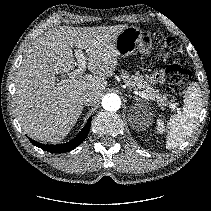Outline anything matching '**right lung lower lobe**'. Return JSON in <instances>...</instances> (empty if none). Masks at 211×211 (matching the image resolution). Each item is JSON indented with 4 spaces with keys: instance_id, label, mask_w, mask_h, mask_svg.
<instances>
[{
    "instance_id": "obj_1",
    "label": "right lung lower lobe",
    "mask_w": 211,
    "mask_h": 211,
    "mask_svg": "<svg viewBox=\"0 0 211 211\" xmlns=\"http://www.w3.org/2000/svg\"><path fill=\"white\" fill-rule=\"evenodd\" d=\"M91 119H92V117L89 118L86 125L78 133V135L67 143L59 144V145H44V144L38 143L34 140H31L30 138H29V140L31 141V143L34 146H37V147H39V148H41V149H43L47 152L65 153V152L71 151L85 140L86 136L89 133V129H90V125H91Z\"/></svg>"
}]
</instances>
